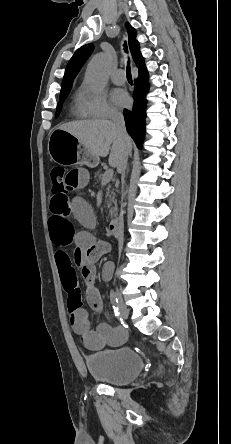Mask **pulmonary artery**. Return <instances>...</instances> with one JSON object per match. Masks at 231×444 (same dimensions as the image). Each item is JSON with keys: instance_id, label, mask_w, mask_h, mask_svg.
Segmentation results:
<instances>
[{"instance_id": "pulmonary-artery-1", "label": "pulmonary artery", "mask_w": 231, "mask_h": 444, "mask_svg": "<svg viewBox=\"0 0 231 444\" xmlns=\"http://www.w3.org/2000/svg\"><path fill=\"white\" fill-rule=\"evenodd\" d=\"M111 79L114 84L123 85L126 81L125 72L122 69H118L112 74Z\"/></svg>"}]
</instances>
